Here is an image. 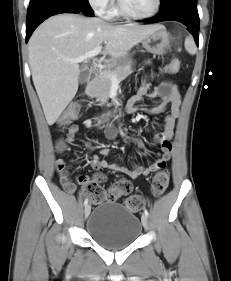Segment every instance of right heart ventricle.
Segmentation results:
<instances>
[{"instance_id":"e07e8e85","label":"right heart ventricle","mask_w":231,"mask_h":281,"mask_svg":"<svg viewBox=\"0 0 231 281\" xmlns=\"http://www.w3.org/2000/svg\"><path fill=\"white\" fill-rule=\"evenodd\" d=\"M117 14H118V12H117L116 9H111V10H109L108 13H107V15H108L109 17L115 16V15H117Z\"/></svg>"}]
</instances>
